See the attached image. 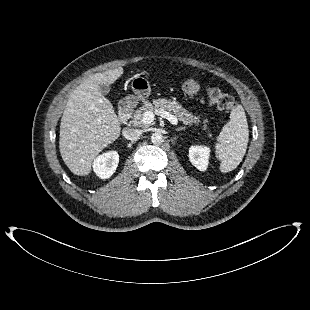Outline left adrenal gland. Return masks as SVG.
Instances as JSON below:
<instances>
[{"instance_id":"1","label":"left adrenal gland","mask_w":310,"mask_h":310,"mask_svg":"<svg viewBox=\"0 0 310 310\" xmlns=\"http://www.w3.org/2000/svg\"><path fill=\"white\" fill-rule=\"evenodd\" d=\"M180 130H186V127H180L176 129V131H180Z\"/></svg>"}]
</instances>
